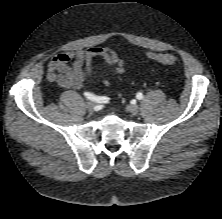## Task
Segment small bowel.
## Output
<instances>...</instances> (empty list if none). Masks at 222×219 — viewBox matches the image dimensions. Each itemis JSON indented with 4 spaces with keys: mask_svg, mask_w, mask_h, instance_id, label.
Masks as SVG:
<instances>
[{
    "mask_svg": "<svg viewBox=\"0 0 222 219\" xmlns=\"http://www.w3.org/2000/svg\"><path fill=\"white\" fill-rule=\"evenodd\" d=\"M96 57L102 58L107 69L112 73L120 74L125 69L124 59L120 58L113 49L93 46L54 55L47 66V78L50 81H56L62 88L80 89L95 77L93 59Z\"/></svg>",
    "mask_w": 222,
    "mask_h": 219,
    "instance_id": "small-bowel-1",
    "label": "small bowel"
}]
</instances>
